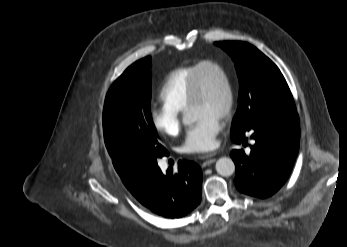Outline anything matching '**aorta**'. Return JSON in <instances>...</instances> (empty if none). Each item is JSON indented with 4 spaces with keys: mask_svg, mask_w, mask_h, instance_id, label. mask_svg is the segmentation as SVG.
I'll list each match as a JSON object with an SVG mask.
<instances>
[{
    "mask_svg": "<svg viewBox=\"0 0 347 247\" xmlns=\"http://www.w3.org/2000/svg\"><path fill=\"white\" fill-rule=\"evenodd\" d=\"M182 121L185 125H189L194 122V118L190 113H185ZM216 171L221 176H231L235 172V164L231 158L221 157L216 162Z\"/></svg>",
    "mask_w": 347,
    "mask_h": 247,
    "instance_id": "762f6f07",
    "label": "aorta"
}]
</instances>
